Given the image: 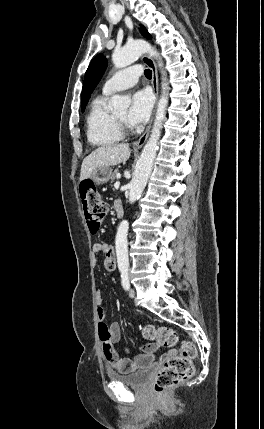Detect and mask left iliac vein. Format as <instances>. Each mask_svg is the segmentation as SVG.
I'll return each mask as SVG.
<instances>
[{
	"mask_svg": "<svg viewBox=\"0 0 264 429\" xmlns=\"http://www.w3.org/2000/svg\"><path fill=\"white\" fill-rule=\"evenodd\" d=\"M135 295H136L135 290L131 287V288H130V290H129V296H130L131 298H134V297H135Z\"/></svg>",
	"mask_w": 264,
	"mask_h": 429,
	"instance_id": "left-iliac-vein-1",
	"label": "left iliac vein"
}]
</instances>
